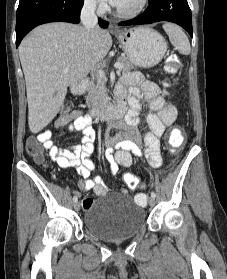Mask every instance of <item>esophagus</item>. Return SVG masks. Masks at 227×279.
<instances>
[{
	"label": "esophagus",
	"instance_id": "esophagus-1",
	"mask_svg": "<svg viewBox=\"0 0 227 279\" xmlns=\"http://www.w3.org/2000/svg\"><path fill=\"white\" fill-rule=\"evenodd\" d=\"M109 27H110L112 32H117L118 31V28L113 24H110Z\"/></svg>",
	"mask_w": 227,
	"mask_h": 279
}]
</instances>
